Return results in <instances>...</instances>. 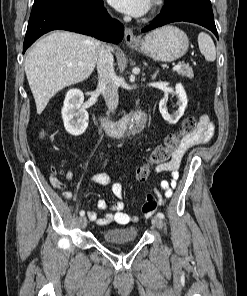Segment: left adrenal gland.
Wrapping results in <instances>:
<instances>
[{"instance_id":"obj_1","label":"left adrenal gland","mask_w":247,"mask_h":296,"mask_svg":"<svg viewBox=\"0 0 247 296\" xmlns=\"http://www.w3.org/2000/svg\"><path fill=\"white\" fill-rule=\"evenodd\" d=\"M157 74H158V71H156V72L152 75V80L156 79Z\"/></svg>"}]
</instances>
